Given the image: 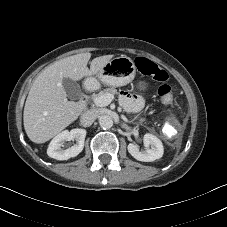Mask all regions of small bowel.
Segmentation results:
<instances>
[{"label": "small bowel", "mask_w": 227, "mask_h": 227, "mask_svg": "<svg viewBox=\"0 0 227 227\" xmlns=\"http://www.w3.org/2000/svg\"><path fill=\"white\" fill-rule=\"evenodd\" d=\"M120 101L121 104L131 112H137L142 106V102L138 97L128 94L127 92L121 93Z\"/></svg>", "instance_id": "c3829d8e"}]
</instances>
